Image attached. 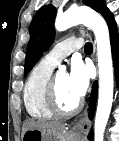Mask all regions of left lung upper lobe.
<instances>
[{
  "label": "left lung upper lobe",
  "instance_id": "left-lung-upper-lobe-1",
  "mask_svg": "<svg viewBox=\"0 0 119 141\" xmlns=\"http://www.w3.org/2000/svg\"><path fill=\"white\" fill-rule=\"evenodd\" d=\"M84 4L100 12L106 19L110 10L106 7L104 0H83ZM56 9L52 4L45 5L36 13L30 24V41L27 46L25 58V74H27L39 58L43 55L55 37L54 21Z\"/></svg>",
  "mask_w": 119,
  "mask_h": 141
}]
</instances>
